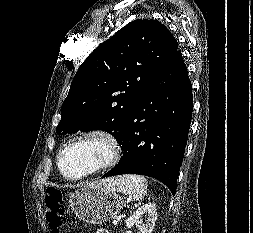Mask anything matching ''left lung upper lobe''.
I'll use <instances>...</instances> for the list:
<instances>
[{
	"mask_svg": "<svg viewBox=\"0 0 253 233\" xmlns=\"http://www.w3.org/2000/svg\"><path fill=\"white\" fill-rule=\"evenodd\" d=\"M178 49L157 20L138 19L101 43L79 67L61 107L59 135L104 130L120 140L126 121Z\"/></svg>",
	"mask_w": 253,
	"mask_h": 233,
	"instance_id": "5c2ea615",
	"label": "left lung upper lobe"
}]
</instances>
